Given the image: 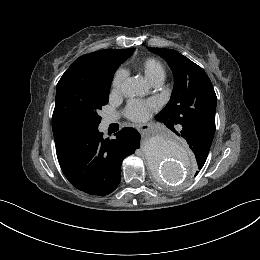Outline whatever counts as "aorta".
<instances>
[{
	"label": "aorta",
	"instance_id": "1",
	"mask_svg": "<svg viewBox=\"0 0 260 260\" xmlns=\"http://www.w3.org/2000/svg\"><path fill=\"white\" fill-rule=\"evenodd\" d=\"M121 90L125 96L135 97L144 95L148 87L138 78H129ZM143 152L154 177L165 184L180 183L193 171L188 150L167 133L148 137Z\"/></svg>",
	"mask_w": 260,
	"mask_h": 260
}]
</instances>
